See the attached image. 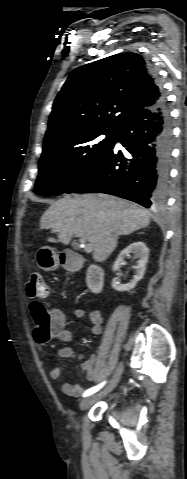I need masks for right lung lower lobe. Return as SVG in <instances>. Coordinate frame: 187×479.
I'll list each match as a JSON object with an SVG mask.
<instances>
[{"label":"right lung lower lobe","mask_w":187,"mask_h":479,"mask_svg":"<svg viewBox=\"0 0 187 479\" xmlns=\"http://www.w3.org/2000/svg\"><path fill=\"white\" fill-rule=\"evenodd\" d=\"M158 103L131 116L118 130L113 146L65 193H107L143 205L165 203L172 151V125L163 89ZM119 141L127 150L114 149Z\"/></svg>","instance_id":"1"}]
</instances>
